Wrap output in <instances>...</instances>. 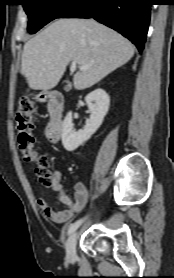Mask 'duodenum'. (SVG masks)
I'll return each mask as SVG.
<instances>
[{
	"instance_id": "410a0bca",
	"label": "duodenum",
	"mask_w": 174,
	"mask_h": 278,
	"mask_svg": "<svg viewBox=\"0 0 174 278\" xmlns=\"http://www.w3.org/2000/svg\"><path fill=\"white\" fill-rule=\"evenodd\" d=\"M41 101L49 107L50 119L46 128V136L51 141H57L63 129V105L64 97L58 91H45L39 95Z\"/></svg>"
}]
</instances>
